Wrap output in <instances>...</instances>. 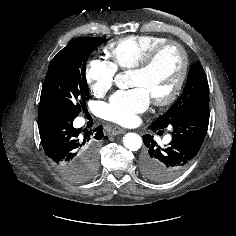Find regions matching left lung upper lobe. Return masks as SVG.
Wrapping results in <instances>:
<instances>
[{
    "label": "left lung upper lobe",
    "mask_w": 236,
    "mask_h": 236,
    "mask_svg": "<svg viewBox=\"0 0 236 236\" xmlns=\"http://www.w3.org/2000/svg\"><path fill=\"white\" fill-rule=\"evenodd\" d=\"M203 101H209V87L203 67L200 62H197L190 69L181 97L165 114L151 124V128L164 129L168 127L176 117L192 105Z\"/></svg>",
    "instance_id": "1"
}]
</instances>
